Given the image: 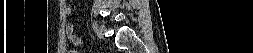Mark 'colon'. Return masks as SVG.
I'll return each instance as SVG.
<instances>
[{"mask_svg":"<svg viewBox=\"0 0 253 53\" xmlns=\"http://www.w3.org/2000/svg\"><path fill=\"white\" fill-rule=\"evenodd\" d=\"M69 52L70 53H76V51L74 49H71Z\"/></svg>","mask_w":253,"mask_h":53,"instance_id":"colon-1","label":"colon"}]
</instances>
